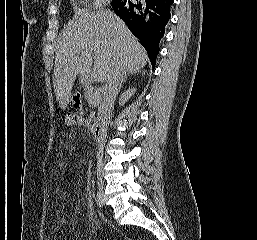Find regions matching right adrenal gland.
Masks as SVG:
<instances>
[{
  "mask_svg": "<svg viewBox=\"0 0 257 240\" xmlns=\"http://www.w3.org/2000/svg\"><path fill=\"white\" fill-rule=\"evenodd\" d=\"M136 73H143V72L141 70H138L136 72H127V73L125 72V73H123V75L121 77L120 85H119V91L122 88V84L130 77V75H134Z\"/></svg>",
  "mask_w": 257,
  "mask_h": 240,
  "instance_id": "right-adrenal-gland-1",
  "label": "right adrenal gland"
}]
</instances>
